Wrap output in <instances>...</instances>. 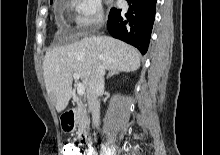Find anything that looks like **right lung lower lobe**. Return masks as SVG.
<instances>
[{"mask_svg": "<svg viewBox=\"0 0 220 155\" xmlns=\"http://www.w3.org/2000/svg\"><path fill=\"white\" fill-rule=\"evenodd\" d=\"M129 9L112 8L107 29L109 33L123 40L145 54L148 50L151 31L155 19L157 0H127Z\"/></svg>", "mask_w": 220, "mask_h": 155, "instance_id": "1", "label": "right lung lower lobe"}]
</instances>
